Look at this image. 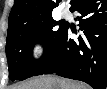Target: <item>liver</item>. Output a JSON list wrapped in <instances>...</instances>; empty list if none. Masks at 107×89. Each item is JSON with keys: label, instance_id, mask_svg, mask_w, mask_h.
I'll return each instance as SVG.
<instances>
[{"label": "liver", "instance_id": "obj_1", "mask_svg": "<svg viewBox=\"0 0 107 89\" xmlns=\"http://www.w3.org/2000/svg\"><path fill=\"white\" fill-rule=\"evenodd\" d=\"M10 89H90L84 83L53 76L35 77L24 83L15 84Z\"/></svg>", "mask_w": 107, "mask_h": 89}]
</instances>
